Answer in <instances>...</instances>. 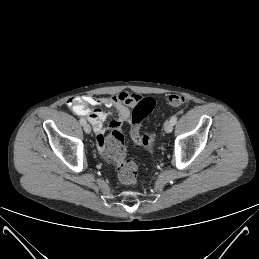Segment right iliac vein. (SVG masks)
I'll use <instances>...</instances> for the list:
<instances>
[{
  "label": "right iliac vein",
  "instance_id": "right-iliac-vein-1",
  "mask_svg": "<svg viewBox=\"0 0 259 259\" xmlns=\"http://www.w3.org/2000/svg\"><path fill=\"white\" fill-rule=\"evenodd\" d=\"M84 131L87 134H89L91 132V126L88 123L84 124Z\"/></svg>",
  "mask_w": 259,
  "mask_h": 259
}]
</instances>
